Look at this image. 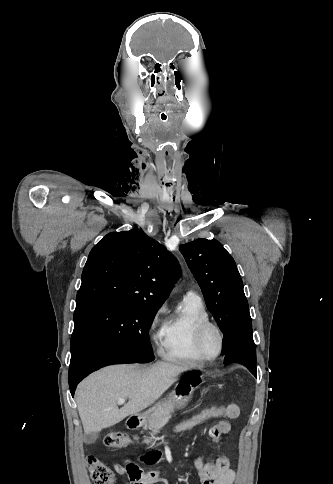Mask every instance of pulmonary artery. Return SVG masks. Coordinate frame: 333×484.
<instances>
[{
	"mask_svg": "<svg viewBox=\"0 0 333 484\" xmlns=\"http://www.w3.org/2000/svg\"><path fill=\"white\" fill-rule=\"evenodd\" d=\"M187 295H195V296H197L196 292H194L193 290L188 291Z\"/></svg>",
	"mask_w": 333,
	"mask_h": 484,
	"instance_id": "e3ab8cb5",
	"label": "pulmonary artery"
}]
</instances>
